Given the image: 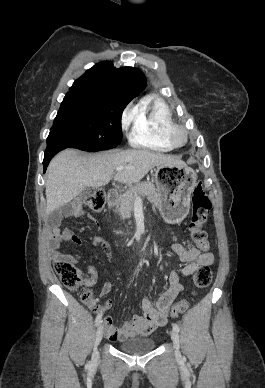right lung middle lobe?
Returning <instances> with one entry per match:
<instances>
[{
	"label": "right lung middle lobe",
	"mask_w": 265,
	"mask_h": 388,
	"mask_svg": "<svg viewBox=\"0 0 265 388\" xmlns=\"http://www.w3.org/2000/svg\"><path fill=\"white\" fill-rule=\"evenodd\" d=\"M131 101L111 94L67 93L47 138V149L97 152L121 143V116Z\"/></svg>",
	"instance_id": "obj_1"
}]
</instances>
